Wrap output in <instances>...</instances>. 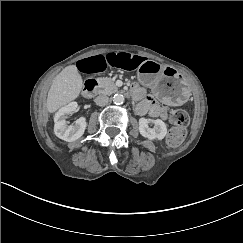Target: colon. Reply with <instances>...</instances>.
Returning a JSON list of instances; mask_svg holds the SVG:
<instances>
[{"label":"colon","instance_id":"colon-1","mask_svg":"<svg viewBox=\"0 0 243 243\" xmlns=\"http://www.w3.org/2000/svg\"><path fill=\"white\" fill-rule=\"evenodd\" d=\"M173 127L167 135V143L171 147L180 145L186 137V126L189 123V115L182 109H173L169 113Z\"/></svg>","mask_w":243,"mask_h":243}]
</instances>
